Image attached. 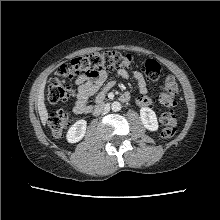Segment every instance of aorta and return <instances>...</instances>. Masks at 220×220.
Returning <instances> with one entry per match:
<instances>
[{
  "instance_id": "obj_1",
  "label": "aorta",
  "mask_w": 220,
  "mask_h": 220,
  "mask_svg": "<svg viewBox=\"0 0 220 220\" xmlns=\"http://www.w3.org/2000/svg\"><path fill=\"white\" fill-rule=\"evenodd\" d=\"M111 109L114 112H118V111L121 110V104L119 102L115 101V102L112 103Z\"/></svg>"
}]
</instances>
